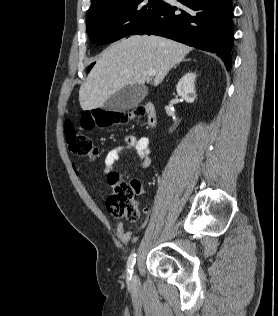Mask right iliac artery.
<instances>
[{"instance_id":"82829eb1","label":"right iliac artery","mask_w":278,"mask_h":316,"mask_svg":"<svg viewBox=\"0 0 278 316\" xmlns=\"http://www.w3.org/2000/svg\"><path fill=\"white\" fill-rule=\"evenodd\" d=\"M136 262V253H132L130 257L128 258L127 262V275L128 279H131V275L133 273V267Z\"/></svg>"}]
</instances>
